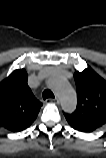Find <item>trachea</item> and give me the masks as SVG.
Returning <instances> with one entry per match:
<instances>
[{
  "label": "trachea",
  "instance_id": "3493384b",
  "mask_svg": "<svg viewBox=\"0 0 106 158\" xmlns=\"http://www.w3.org/2000/svg\"><path fill=\"white\" fill-rule=\"evenodd\" d=\"M42 97H43L44 100L47 99V98H54V94L52 93L51 90L46 89V90H44V92L42 93Z\"/></svg>",
  "mask_w": 106,
  "mask_h": 158
}]
</instances>
